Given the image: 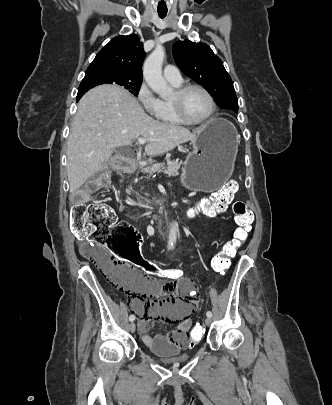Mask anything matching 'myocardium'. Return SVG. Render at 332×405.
I'll list each match as a JSON object with an SVG mask.
<instances>
[{
    "mask_svg": "<svg viewBox=\"0 0 332 405\" xmlns=\"http://www.w3.org/2000/svg\"><path fill=\"white\" fill-rule=\"evenodd\" d=\"M192 89H197V90H200L201 92H203L208 97L210 104H211V109H210L209 114L200 120H190L189 118L186 117V115L184 113L183 98H184L185 94L189 90H192ZM170 102H171L173 111H174L177 119L183 124L192 125V126L203 125V124L208 123L214 117V115L216 113V109H217L216 101H215L213 95L211 94V92L200 84H186V85L179 86L175 90L174 96H173V98H171Z\"/></svg>",
    "mask_w": 332,
    "mask_h": 405,
    "instance_id": "obj_1",
    "label": "myocardium"
}]
</instances>
